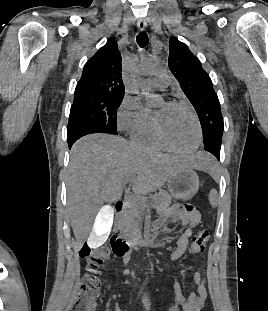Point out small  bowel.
<instances>
[{"label":"small bowel","instance_id":"small-bowel-1","mask_svg":"<svg viewBox=\"0 0 268 311\" xmlns=\"http://www.w3.org/2000/svg\"><path fill=\"white\" fill-rule=\"evenodd\" d=\"M199 221V212L189 205L183 207H173L163 217L155 221L153 226L155 230H160L167 223L173 224L176 222H181V224L185 227L184 232L177 240L175 250L171 254L173 261L180 259L186 252L193 236V229L198 225ZM129 259L130 253L123 256L125 264L129 262ZM193 281L196 285V291L192 292L187 299L182 294L180 285L178 283L175 284L176 300L183 311H200L205 305L207 290L204 270L196 271L193 275ZM142 301L144 306L149 308L150 297L147 293L144 294Z\"/></svg>","mask_w":268,"mask_h":311}]
</instances>
